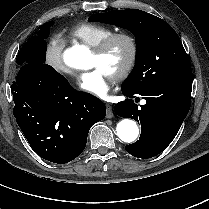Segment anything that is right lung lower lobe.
<instances>
[{"label":"right lung lower lobe","mask_w":209,"mask_h":209,"mask_svg":"<svg viewBox=\"0 0 209 209\" xmlns=\"http://www.w3.org/2000/svg\"><path fill=\"white\" fill-rule=\"evenodd\" d=\"M13 113L31 148L64 164L84 150L89 129L106 115L97 97L73 89L45 63H24L11 86Z\"/></svg>","instance_id":"1"}]
</instances>
